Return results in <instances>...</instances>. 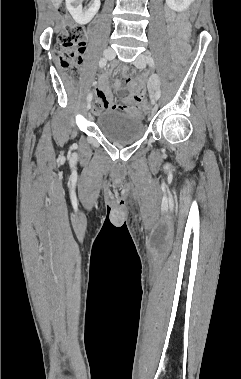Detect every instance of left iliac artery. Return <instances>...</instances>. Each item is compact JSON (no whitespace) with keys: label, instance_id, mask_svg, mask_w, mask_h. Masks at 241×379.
I'll use <instances>...</instances> for the list:
<instances>
[{"label":"left iliac artery","instance_id":"1","mask_svg":"<svg viewBox=\"0 0 241 379\" xmlns=\"http://www.w3.org/2000/svg\"><path fill=\"white\" fill-rule=\"evenodd\" d=\"M146 61H147L148 65H149L150 67L154 68V66H155V62H154V59H153L150 55H147V56H146ZM155 96L157 97V99L160 98V96H161V91H160V89H158V90L156 91Z\"/></svg>","mask_w":241,"mask_h":379}]
</instances>
